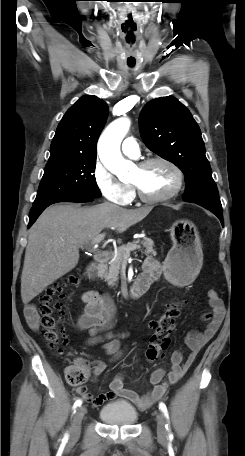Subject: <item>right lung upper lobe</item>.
I'll use <instances>...</instances> for the list:
<instances>
[{"label":"right lung upper lobe","mask_w":245,"mask_h":456,"mask_svg":"<svg viewBox=\"0 0 245 456\" xmlns=\"http://www.w3.org/2000/svg\"><path fill=\"white\" fill-rule=\"evenodd\" d=\"M108 116L107 104L93 95L82 96L63 116L50 147L48 163L96 156L97 140Z\"/></svg>","instance_id":"obj_1"}]
</instances>
